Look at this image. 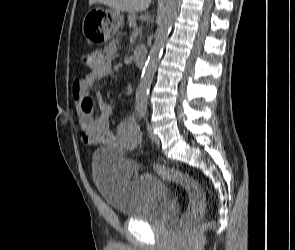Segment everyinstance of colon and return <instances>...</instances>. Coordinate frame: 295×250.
I'll use <instances>...</instances> for the list:
<instances>
[{
  "label": "colon",
  "instance_id": "obj_1",
  "mask_svg": "<svg viewBox=\"0 0 295 250\" xmlns=\"http://www.w3.org/2000/svg\"><path fill=\"white\" fill-rule=\"evenodd\" d=\"M92 54L85 53L81 57V63L89 66L92 63ZM154 170L163 178L182 185L188 192L190 204L182 217V224L186 225L202 216L205 210V195L198 182L180 171L169 169L160 165H154Z\"/></svg>",
  "mask_w": 295,
  "mask_h": 250
}]
</instances>
